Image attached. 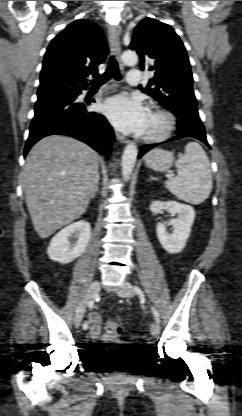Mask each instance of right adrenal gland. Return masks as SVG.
Segmentation results:
<instances>
[{
    "instance_id": "right-adrenal-gland-1",
    "label": "right adrenal gland",
    "mask_w": 242,
    "mask_h": 416,
    "mask_svg": "<svg viewBox=\"0 0 242 416\" xmlns=\"http://www.w3.org/2000/svg\"><path fill=\"white\" fill-rule=\"evenodd\" d=\"M99 177H98V182H97V184H96V186H95V190H94V193H93V196H92V198H94L95 197V195H96V193L99 191Z\"/></svg>"
}]
</instances>
